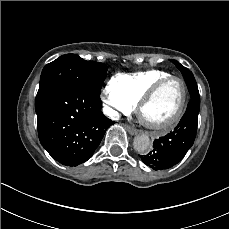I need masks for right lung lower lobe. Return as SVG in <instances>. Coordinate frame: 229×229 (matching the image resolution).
<instances>
[{"mask_svg": "<svg viewBox=\"0 0 229 229\" xmlns=\"http://www.w3.org/2000/svg\"><path fill=\"white\" fill-rule=\"evenodd\" d=\"M100 93L75 83L57 85L35 100L38 136L58 162L87 161L113 121L101 112Z\"/></svg>", "mask_w": 229, "mask_h": 229, "instance_id": "1", "label": "right lung lower lobe"}]
</instances>
